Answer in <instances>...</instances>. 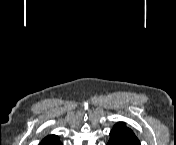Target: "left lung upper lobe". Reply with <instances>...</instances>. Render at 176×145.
Segmentation results:
<instances>
[{
  "instance_id": "5c2ea615",
  "label": "left lung upper lobe",
  "mask_w": 176,
  "mask_h": 145,
  "mask_svg": "<svg viewBox=\"0 0 176 145\" xmlns=\"http://www.w3.org/2000/svg\"><path fill=\"white\" fill-rule=\"evenodd\" d=\"M111 132L120 135L129 145H140V141L134 132L124 122L115 124Z\"/></svg>"
}]
</instances>
